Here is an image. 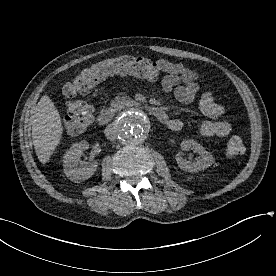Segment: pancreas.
<instances>
[{
	"instance_id": "cf45deb5",
	"label": "pancreas",
	"mask_w": 276,
	"mask_h": 276,
	"mask_svg": "<svg viewBox=\"0 0 276 276\" xmlns=\"http://www.w3.org/2000/svg\"><path fill=\"white\" fill-rule=\"evenodd\" d=\"M133 105H135V101L127 96H116L111 102V107L116 110H121L124 107Z\"/></svg>"
}]
</instances>
